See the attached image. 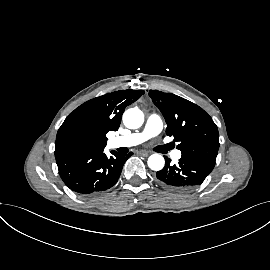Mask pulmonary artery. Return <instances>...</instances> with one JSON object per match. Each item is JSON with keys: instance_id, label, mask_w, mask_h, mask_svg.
Instances as JSON below:
<instances>
[{"instance_id": "1", "label": "pulmonary artery", "mask_w": 270, "mask_h": 270, "mask_svg": "<svg viewBox=\"0 0 270 270\" xmlns=\"http://www.w3.org/2000/svg\"><path fill=\"white\" fill-rule=\"evenodd\" d=\"M162 128L163 122L161 117L157 114H151L148 116L142 131L112 138L109 141V144L112 148L135 146L143 143L149 138L157 136L162 131ZM172 156L177 160L181 157V152L177 150Z\"/></svg>"}]
</instances>
